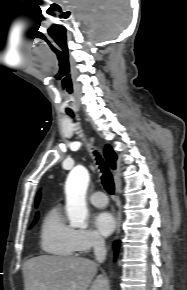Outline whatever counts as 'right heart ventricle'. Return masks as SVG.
<instances>
[{"mask_svg":"<svg viewBox=\"0 0 187 290\" xmlns=\"http://www.w3.org/2000/svg\"><path fill=\"white\" fill-rule=\"evenodd\" d=\"M74 230L63 220L58 207L45 214L40 230L41 248L48 254L71 257L76 252Z\"/></svg>","mask_w":187,"mask_h":290,"instance_id":"1","label":"right heart ventricle"}]
</instances>
